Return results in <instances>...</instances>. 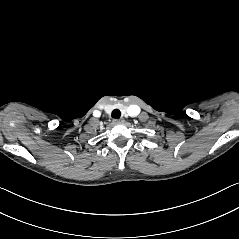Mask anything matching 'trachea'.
<instances>
[{
  "mask_svg": "<svg viewBox=\"0 0 239 239\" xmlns=\"http://www.w3.org/2000/svg\"><path fill=\"white\" fill-rule=\"evenodd\" d=\"M120 116H121L120 110L114 109V110L112 111V118H114V119H119Z\"/></svg>",
  "mask_w": 239,
  "mask_h": 239,
  "instance_id": "3493384b",
  "label": "trachea"
}]
</instances>
